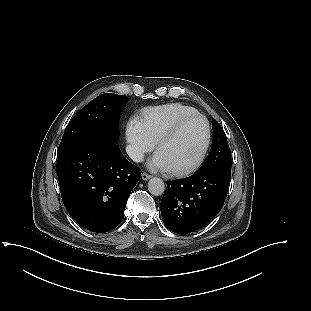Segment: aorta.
I'll return each instance as SVG.
<instances>
[{"instance_id": "762f6f07", "label": "aorta", "mask_w": 311, "mask_h": 311, "mask_svg": "<svg viewBox=\"0 0 311 311\" xmlns=\"http://www.w3.org/2000/svg\"><path fill=\"white\" fill-rule=\"evenodd\" d=\"M148 190L154 196H160L165 191V184L162 179L153 177L148 182Z\"/></svg>"}]
</instances>
